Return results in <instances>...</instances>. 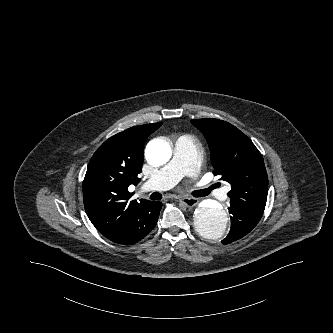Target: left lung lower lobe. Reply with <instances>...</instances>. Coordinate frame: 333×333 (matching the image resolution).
<instances>
[{
    "instance_id": "obj_1",
    "label": "left lung lower lobe",
    "mask_w": 333,
    "mask_h": 333,
    "mask_svg": "<svg viewBox=\"0 0 333 333\" xmlns=\"http://www.w3.org/2000/svg\"><path fill=\"white\" fill-rule=\"evenodd\" d=\"M231 229L228 236L222 240L223 244H229L248 234L260 221L263 212L248 209L240 205L230 203Z\"/></svg>"
}]
</instances>
